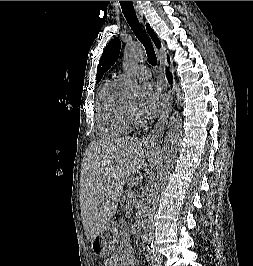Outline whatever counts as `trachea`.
I'll list each match as a JSON object with an SVG mask.
<instances>
[{
    "label": "trachea",
    "instance_id": "1",
    "mask_svg": "<svg viewBox=\"0 0 253 266\" xmlns=\"http://www.w3.org/2000/svg\"><path fill=\"white\" fill-rule=\"evenodd\" d=\"M119 2L121 5V8H122V12L124 14V17L126 18L132 31L134 32V34L136 35L138 40L143 44V46L146 50L148 62L152 66H156L157 65V57H156L153 45H152L150 39L148 38V36L146 35V33L144 32L142 26L139 23V20L136 16L132 1H119Z\"/></svg>",
    "mask_w": 253,
    "mask_h": 266
}]
</instances>
